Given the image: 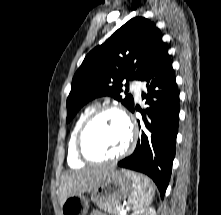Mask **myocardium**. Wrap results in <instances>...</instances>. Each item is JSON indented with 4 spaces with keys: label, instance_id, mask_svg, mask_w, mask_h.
Listing matches in <instances>:
<instances>
[{
    "label": "myocardium",
    "instance_id": "myocardium-1",
    "mask_svg": "<svg viewBox=\"0 0 221 215\" xmlns=\"http://www.w3.org/2000/svg\"><path fill=\"white\" fill-rule=\"evenodd\" d=\"M105 112H114L117 113L125 122L128 129V142L125 148L119 153L107 157V158H95L90 156L84 146V139L87 130L92 125V123L103 113ZM137 141V129L129 117V115L120 107L112 104L102 105L95 108L90 115L82 123L75 140V148L78 157L85 163L91 164H100V163H109L120 160L121 158L127 156L135 147Z\"/></svg>",
    "mask_w": 221,
    "mask_h": 215
}]
</instances>
